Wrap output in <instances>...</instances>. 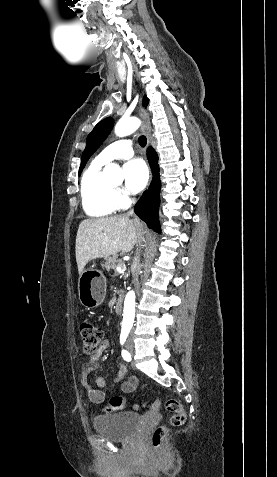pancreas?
I'll use <instances>...</instances> for the list:
<instances>
[{
  "label": "pancreas",
  "mask_w": 277,
  "mask_h": 477,
  "mask_svg": "<svg viewBox=\"0 0 277 477\" xmlns=\"http://www.w3.org/2000/svg\"><path fill=\"white\" fill-rule=\"evenodd\" d=\"M120 263L121 261L118 259V255L114 254L105 258V262H103L102 267L105 268L107 271L114 270V274L115 276H117L119 273L116 271V267Z\"/></svg>",
  "instance_id": "pancreas-1"
}]
</instances>
